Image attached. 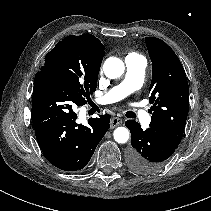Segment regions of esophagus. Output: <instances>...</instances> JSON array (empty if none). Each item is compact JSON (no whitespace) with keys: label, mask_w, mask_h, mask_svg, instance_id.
<instances>
[{"label":"esophagus","mask_w":211,"mask_h":211,"mask_svg":"<svg viewBox=\"0 0 211 211\" xmlns=\"http://www.w3.org/2000/svg\"><path fill=\"white\" fill-rule=\"evenodd\" d=\"M122 123V119L118 117H113L110 121L111 128H115L116 126H119Z\"/></svg>","instance_id":"obj_1"}]
</instances>
